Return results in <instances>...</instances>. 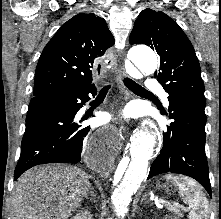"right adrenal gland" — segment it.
I'll return each instance as SVG.
<instances>
[{
    "mask_svg": "<svg viewBox=\"0 0 221 219\" xmlns=\"http://www.w3.org/2000/svg\"><path fill=\"white\" fill-rule=\"evenodd\" d=\"M87 199H89L90 201H93L94 203H96V193L94 192V189L91 188L90 193H88V195L86 196Z\"/></svg>",
    "mask_w": 221,
    "mask_h": 219,
    "instance_id": "obj_1",
    "label": "right adrenal gland"
}]
</instances>
